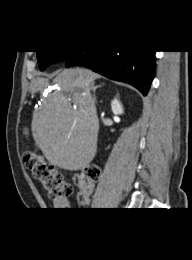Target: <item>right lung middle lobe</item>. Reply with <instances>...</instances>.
I'll use <instances>...</instances> for the list:
<instances>
[{
	"instance_id": "dd1d6c3e",
	"label": "right lung middle lobe",
	"mask_w": 192,
	"mask_h": 260,
	"mask_svg": "<svg viewBox=\"0 0 192 260\" xmlns=\"http://www.w3.org/2000/svg\"><path fill=\"white\" fill-rule=\"evenodd\" d=\"M40 70L52 63L65 61L73 51H36Z\"/></svg>"
}]
</instances>
